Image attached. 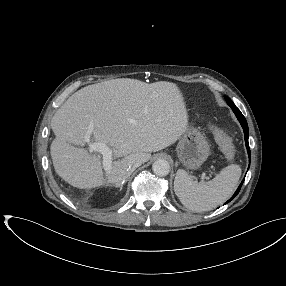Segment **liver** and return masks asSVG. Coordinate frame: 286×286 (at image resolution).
<instances>
[{
	"label": "liver",
	"instance_id": "liver-1",
	"mask_svg": "<svg viewBox=\"0 0 286 286\" xmlns=\"http://www.w3.org/2000/svg\"><path fill=\"white\" fill-rule=\"evenodd\" d=\"M188 127V113L179 87L120 78L88 85L56 111L50 146L54 169L68 184L91 189L104 183L120 186L134 159L147 162L151 152L175 143ZM88 141L106 143L114 161L104 180L100 157L84 148Z\"/></svg>",
	"mask_w": 286,
	"mask_h": 286
}]
</instances>
